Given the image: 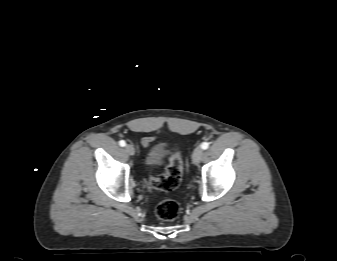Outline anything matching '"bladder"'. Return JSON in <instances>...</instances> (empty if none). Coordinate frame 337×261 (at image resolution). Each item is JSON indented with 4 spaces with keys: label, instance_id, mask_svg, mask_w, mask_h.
<instances>
[{
    "label": "bladder",
    "instance_id": "31cf9c89",
    "mask_svg": "<svg viewBox=\"0 0 337 261\" xmlns=\"http://www.w3.org/2000/svg\"><path fill=\"white\" fill-rule=\"evenodd\" d=\"M171 153V148L167 143L160 142L153 145L144 157V166L152 168L160 165Z\"/></svg>",
    "mask_w": 337,
    "mask_h": 261
}]
</instances>
